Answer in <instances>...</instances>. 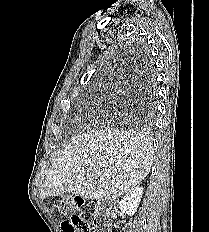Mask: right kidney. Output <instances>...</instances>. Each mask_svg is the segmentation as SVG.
Here are the masks:
<instances>
[{
	"label": "right kidney",
	"mask_w": 209,
	"mask_h": 232,
	"mask_svg": "<svg viewBox=\"0 0 209 232\" xmlns=\"http://www.w3.org/2000/svg\"><path fill=\"white\" fill-rule=\"evenodd\" d=\"M143 194V187L137 186L132 188L119 202V209L133 216L139 206Z\"/></svg>",
	"instance_id": "1"
}]
</instances>
